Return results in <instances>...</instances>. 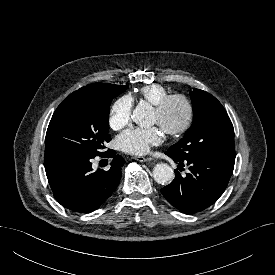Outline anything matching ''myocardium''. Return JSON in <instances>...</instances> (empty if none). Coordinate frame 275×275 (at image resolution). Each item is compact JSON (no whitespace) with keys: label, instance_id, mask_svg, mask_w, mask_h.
<instances>
[{"label":"myocardium","instance_id":"myocardium-1","mask_svg":"<svg viewBox=\"0 0 275 275\" xmlns=\"http://www.w3.org/2000/svg\"><path fill=\"white\" fill-rule=\"evenodd\" d=\"M175 102H179L183 105L184 111H185L184 119L180 125L170 126L165 124L163 119L167 114L170 106ZM154 110L161 119V122L159 123L160 127L163 129V131L167 135L172 137H178L185 134L190 129L194 121V115H195L194 105L191 99L187 95L182 93L167 95L157 105H155Z\"/></svg>","mask_w":275,"mask_h":275}]
</instances>
